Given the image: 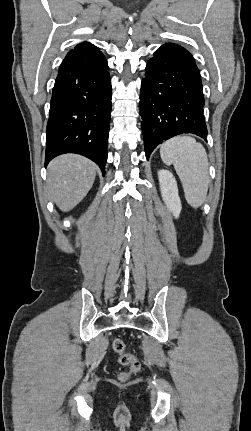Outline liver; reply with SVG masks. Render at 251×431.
<instances>
[{
	"instance_id": "obj_1",
	"label": "liver",
	"mask_w": 251,
	"mask_h": 431,
	"mask_svg": "<svg viewBox=\"0 0 251 431\" xmlns=\"http://www.w3.org/2000/svg\"><path fill=\"white\" fill-rule=\"evenodd\" d=\"M96 170L93 161L75 154L61 155L50 162L47 187L61 211H70L87 195L94 183Z\"/></svg>"
}]
</instances>
